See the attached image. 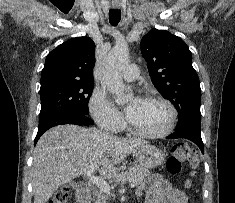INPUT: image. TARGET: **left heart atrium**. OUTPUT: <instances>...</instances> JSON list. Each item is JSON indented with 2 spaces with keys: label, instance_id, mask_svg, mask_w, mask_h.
I'll return each mask as SVG.
<instances>
[{
  "label": "left heart atrium",
  "instance_id": "left-heart-atrium-1",
  "mask_svg": "<svg viewBox=\"0 0 235 203\" xmlns=\"http://www.w3.org/2000/svg\"><path fill=\"white\" fill-rule=\"evenodd\" d=\"M141 99H135L134 101H133V103L132 104H130L128 107H127V109H126V112H127V114L129 115L130 113H131V111L133 110V108H134V106L136 105V103L138 102V101H140Z\"/></svg>",
  "mask_w": 235,
  "mask_h": 203
}]
</instances>
